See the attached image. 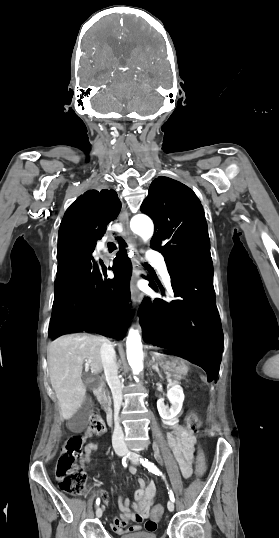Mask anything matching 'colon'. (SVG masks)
<instances>
[{
    "label": "colon",
    "instance_id": "colon-1",
    "mask_svg": "<svg viewBox=\"0 0 279 538\" xmlns=\"http://www.w3.org/2000/svg\"><path fill=\"white\" fill-rule=\"evenodd\" d=\"M185 424L190 432H196L201 425L198 415L194 412H190L186 416ZM104 431L105 423L102 417L93 414L84 435L72 437L64 445L57 462L56 477L60 483V488L66 493L77 495L86 488L87 477L82 467L77 464V460L82 454L85 440L93 435H100ZM195 465L197 476L202 477L206 472V459L200 446L197 449ZM163 513V506H155L152 511L153 521L160 520Z\"/></svg>",
    "mask_w": 279,
    "mask_h": 538
}]
</instances>
